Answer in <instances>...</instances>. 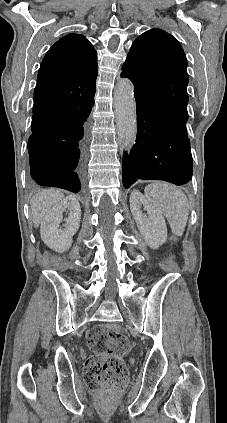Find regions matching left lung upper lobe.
I'll use <instances>...</instances> for the list:
<instances>
[{
    "label": "left lung upper lobe",
    "mask_w": 227,
    "mask_h": 423,
    "mask_svg": "<svg viewBox=\"0 0 227 423\" xmlns=\"http://www.w3.org/2000/svg\"><path fill=\"white\" fill-rule=\"evenodd\" d=\"M187 59L180 43L167 32L151 29L132 44L122 77L134 84L145 103L162 113L187 112Z\"/></svg>",
    "instance_id": "obj_1"
}]
</instances>
